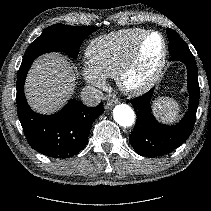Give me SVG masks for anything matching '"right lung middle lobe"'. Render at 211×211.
Here are the masks:
<instances>
[{
	"mask_svg": "<svg viewBox=\"0 0 211 211\" xmlns=\"http://www.w3.org/2000/svg\"><path fill=\"white\" fill-rule=\"evenodd\" d=\"M94 31L93 26L52 25L29 45L22 62L51 51L65 52L76 58L83 40Z\"/></svg>",
	"mask_w": 211,
	"mask_h": 211,
	"instance_id": "right-lung-middle-lobe-1",
	"label": "right lung middle lobe"
}]
</instances>
